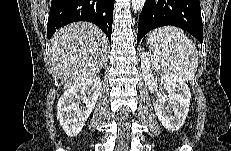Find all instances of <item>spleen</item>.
Here are the masks:
<instances>
[{
	"label": "spleen",
	"instance_id": "obj_1",
	"mask_svg": "<svg viewBox=\"0 0 231 151\" xmlns=\"http://www.w3.org/2000/svg\"><path fill=\"white\" fill-rule=\"evenodd\" d=\"M148 42L155 56L169 64L184 81L194 78L198 68L195 44L177 27L153 30Z\"/></svg>",
	"mask_w": 231,
	"mask_h": 151
}]
</instances>
